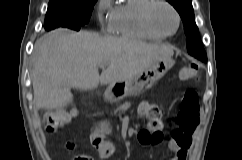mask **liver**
<instances>
[{"mask_svg": "<svg viewBox=\"0 0 242 160\" xmlns=\"http://www.w3.org/2000/svg\"><path fill=\"white\" fill-rule=\"evenodd\" d=\"M173 47L142 41L101 37L59 28L38 39L33 52L34 104L40 109L67 106L71 88L95 89L130 80L152 63L171 58ZM107 65L99 75L98 67Z\"/></svg>", "mask_w": 242, "mask_h": 160, "instance_id": "6515ba94", "label": "liver"}]
</instances>
